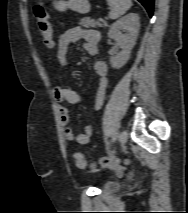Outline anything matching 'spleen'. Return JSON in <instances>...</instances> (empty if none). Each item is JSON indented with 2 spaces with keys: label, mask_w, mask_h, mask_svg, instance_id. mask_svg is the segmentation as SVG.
Returning <instances> with one entry per match:
<instances>
[{
  "label": "spleen",
  "mask_w": 188,
  "mask_h": 213,
  "mask_svg": "<svg viewBox=\"0 0 188 213\" xmlns=\"http://www.w3.org/2000/svg\"><path fill=\"white\" fill-rule=\"evenodd\" d=\"M107 2L111 8L109 13L111 19H117L126 13L132 6L131 0H107Z\"/></svg>",
  "instance_id": "spleen-1"
}]
</instances>
